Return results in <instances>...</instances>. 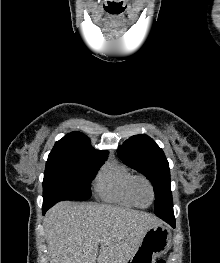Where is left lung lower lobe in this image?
Returning <instances> with one entry per match:
<instances>
[{"instance_id":"left-lung-lower-lobe-1","label":"left lung lower lobe","mask_w":220,"mask_h":263,"mask_svg":"<svg viewBox=\"0 0 220 263\" xmlns=\"http://www.w3.org/2000/svg\"><path fill=\"white\" fill-rule=\"evenodd\" d=\"M159 218L166 221L168 224H170L173 228H175V218L172 210L166 211L162 214H156Z\"/></svg>"}]
</instances>
